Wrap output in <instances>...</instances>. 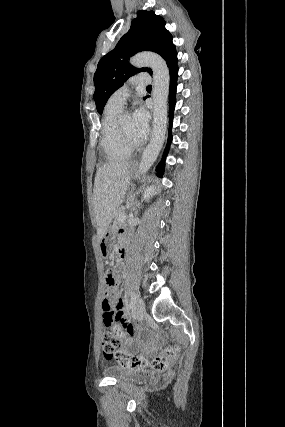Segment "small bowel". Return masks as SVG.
Instances as JSON below:
<instances>
[{"label":"small bowel","mask_w":285,"mask_h":427,"mask_svg":"<svg viewBox=\"0 0 285 427\" xmlns=\"http://www.w3.org/2000/svg\"><path fill=\"white\" fill-rule=\"evenodd\" d=\"M124 309V301L120 297L118 287L115 286L112 290V293L108 296H104L102 299L101 310L103 313L104 325L107 327H111L116 322L124 325L126 320V317L124 315ZM116 315L117 317L115 318Z\"/></svg>","instance_id":"obj_1"}]
</instances>
